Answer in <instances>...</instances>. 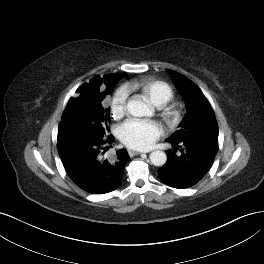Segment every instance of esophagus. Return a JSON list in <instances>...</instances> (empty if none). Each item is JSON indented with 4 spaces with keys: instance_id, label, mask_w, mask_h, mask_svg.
I'll return each mask as SVG.
<instances>
[{
    "instance_id": "1",
    "label": "esophagus",
    "mask_w": 264,
    "mask_h": 264,
    "mask_svg": "<svg viewBox=\"0 0 264 264\" xmlns=\"http://www.w3.org/2000/svg\"><path fill=\"white\" fill-rule=\"evenodd\" d=\"M141 153H142L141 151L128 150V154H129L130 157H133L135 155H139Z\"/></svg>"
}]
</instances>
